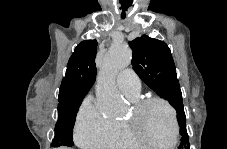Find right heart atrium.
Returning a JSON list of instances; mask_svg holds the SVG:
<instances>
[{
    "instance_id": "right-heart-atrium-1",
    "label": "right heart atrium",
    "mask_w": 227,
    "mask_h": 149,
    "mask_svg": "<svg viewBox=\"0 0 227 149\" xmlns=\"http://www.w3.org/2000/svg\"><path fill=\"white\" fill-rule=\"evenodd\" d=\"M115 132V121L101 114L94 101L86 98L78 111L74 134L78 145L87 149L110 146Z\"/></svg>"
}]
</instances>
